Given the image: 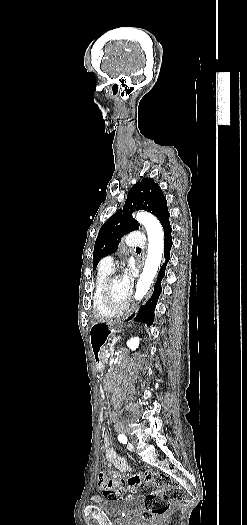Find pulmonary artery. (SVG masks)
I'll use <instances>...</instances> for the list:
<instances>
[{"mask_svg":"<svg viewBox=\"0 0 247 525\" xmlns=\"http://www.w3.org/2000/svg\"><path fill=\"white\" fill-rule=\"evenodd\" d=\"M144 236H124L122 242L124 245L130 248H136L145 244ZM108 261H111V257H108Z\"/></svg>","mask_w":247,"mask_h":525,"instance_id":"obj_1","label":"pulmonary artery"}]
</instances>
